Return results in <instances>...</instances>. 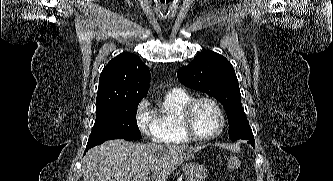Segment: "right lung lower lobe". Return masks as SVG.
<instances>
[{
    "instance_id": "right-lung-lower-lobe-1",
    "label": "right lung lower lobe",
    "mask_w": 333,
    "mask_h": 181,
    "mask_svg": "<svg viewBox=\"0 0 333 181\" xmlns=\"http://www.w3.org/2000/svg\"><path fill=\"white\" fill-rule=\"evenodd\" d=\"M89 148H86L85 152L88 150Z\"/></svg>"
}]
</instances>
